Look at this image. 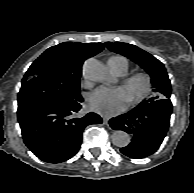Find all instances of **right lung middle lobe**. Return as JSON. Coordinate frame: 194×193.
<instances>
[{"label": "right lung middle lobe", "mask_w": 194, "mask_h": 193, "mask_svg": "<svg viewBox=\"0 0 194 193\" xmlns=\"http://www.w3.org/2000/svg\"><path fill=\"white\" fill-rule=\"evenodd\" d=\"M25 77V76H24ZM81 74H33L23 78L18 95V106L23 105H71L81 101Z\"/></svg>", "instance_id": "right-lung-middle-lobe-1"}]
</instances>
